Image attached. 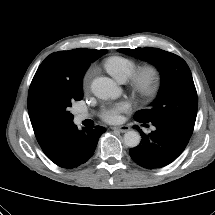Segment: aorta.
<instances>
[{
  "label": "aorta",
  "mask_w": 215,
  "mask_h": 215,
  "mask_svg": "<svg viewBox=\"0 0 215 215\" xmlns=\"http://www.w3.org/2000/svg\"><path fill=\"white\" fill-rule=\"evenodd\" d=\"M92 93L100 99H109L119 97L121 90L116 83L108 77H98L91 84ZM141 136L137 131L131 130L124 134V144L128 147L139 145Z\"/></svg>",
  "instance_id": "762f6f07"
}]
</instances>
